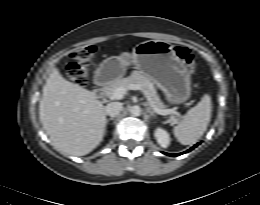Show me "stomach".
I'll return each mask as SVG.
<instances>
[{"mask_svg":"<svg viewBox=\"0 0 260 205\" xmlns=\"http://www.w3.org/2000/svg\"><path fill=\"white\" fill-rule=\"evenodd\" d=\"M174 47L163 40H148L124 53L105 59L97 69L98 84L112 83L122 78L129 63L149 77L162 90L171 104H182L192 94L191 75L183 61L176 55Z\"/></svg>","mask_w":260,"mask_h":205,"instance_id":"0dacf381","label":"stomach"}]
</instances>
